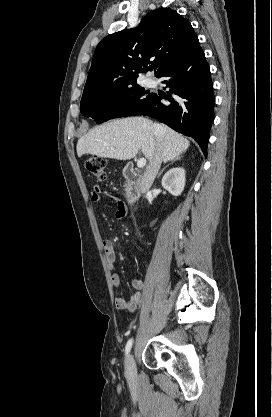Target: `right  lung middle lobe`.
Returning a JSON list of instances; mask_svg holds the SVG:
<instances>
[{
	"mask_svg": "<svg viewBox=\"0 0 272 417\" xmlns=\"http://www.w3.org/2000/svg\"><path fill=\"white\" fill-rule=\"evenodd\" d=\"M151 97L152 93L137 84L119 91L83 94L80 111L100 124L109 119L135 115Z\"/></svg>",
	"mask_w": 272,
	"mask_h": 417,
	"instance_id": "dd1d6c3e",
	"label": "right lung middle lobe"
}]
</instances>
